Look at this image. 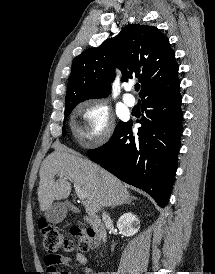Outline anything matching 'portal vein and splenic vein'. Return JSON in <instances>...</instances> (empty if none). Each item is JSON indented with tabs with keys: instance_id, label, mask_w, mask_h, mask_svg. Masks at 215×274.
<instances>
[{
	"instance_id": "1",
	"label": "portal vein and splenic vein",
	"mask_w": 215,
	"mask_h": 274,
	"mask_svg": "<svg viewBox=\"0 0 215 274\" xmlns=\"http://www.w3.org/2000/svg\"><path fill=\"white\" fill-rule=\"evenodd\" d=\"M61 175H63V173H61ZM74 188H75V192H76L78 199L85 200L86 199L85 191L83 189H81L76 183H74Z\"/></svg>"
}]
</instances>
